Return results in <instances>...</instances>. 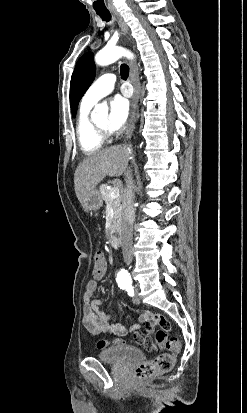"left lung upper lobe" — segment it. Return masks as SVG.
I'll return each instance as SVG.
<instances>
[{"instance_id":"5c2ea615","label":"left lung upper lobe","mask_w":247,"mask_h":413,"mask_svg":"<svg viewBox=\"0 0 247 413\" xmlns=\"http://www.w3.org/2000/svg\"><path fill=\"white\" fill-rule=\"evenodd\" d=\"M94 55L92 52L84 54L76 63L70 84V106L72 116L76 110L80 99L89 88L95 78Z\"/></svg>"}]
</instances>
